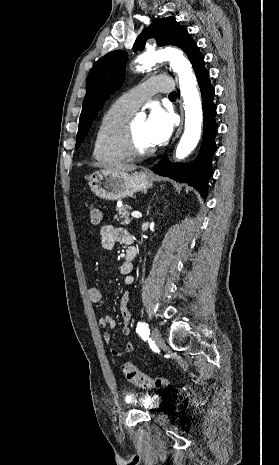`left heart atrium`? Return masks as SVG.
Returning a JSON list of instances; mask_svg holds the SVG:
<instances>
[{"instance_id":"obj_1","label":"left heart atrium","mask_w":279,"mask_h":465,"mask_svg":"<svg viewBox=\"0 0 279 465\" xmlns=\"http://www.w3.org/2000/svg\"><path fill=\"white\" fill-rule=\"evenodd\" d=\"M173 117L158 106H154L145 122L148 138L153 146L165 142L172 134Z\"/></svg>"}]
</instances>
